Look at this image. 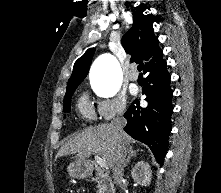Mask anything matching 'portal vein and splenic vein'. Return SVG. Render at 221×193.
I'll return each mask as SVG.
<instances>
[{
    "instance_id": "obj_1",
    "label": "portal vein and splenic vein",
    "mask_w": 221,
    "mask_h": 193,
    "mask_svg": "<svg viewBox=\"0 0 221 193\" xmlns=\"http://www.w3.org/2000/svg\"><path fill=\"white\" fill-rule=\"evenodd\" d=\"M95 160L101 168H105L107 166L106 160L101 158L100 156L95 155Z\"/></svg>"
}]
</instances>
